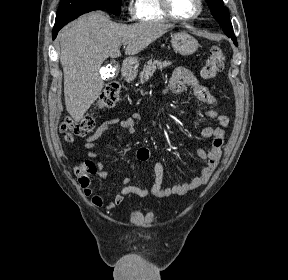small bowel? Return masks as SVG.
Wrapping results in <instances>:
<instances>
[{
  "label": "small bowel",
  "instance_id": "small-bowel-1",
  "mask_svg": "<svg viewBox=\"0 0 288 280\" xmlns=\"http://www.w3.org/2000/svg\"><path fill=\"white\" fill-rule=\"evenodd\" d=\"M187 87L192 89L194 96L199 101L209 106L208 110L205 112V116L209 121L204 124L201 130V135L205 139H212V142L207 150H197L198 156L205 161V165L200 170L199 174L187 182L164 188L162 187L164 167L160 162H155L153 166L154 182L151 185L144 188L138 187L132 184V180L129 176H123L121 178L123 187L106 202L101 194L93 193L90 186L83 187L84 195L87 197L91 196V203L93 206L101 207L105 205L108 210H113L115 207L122 204L124 199L130 195H135L141 198L147 196L165 198L175 195H185L208 182L221 157L225 128L229 125L230 120L226 115L218 114L215 110L217 101L214 96L210 93L207 87L199 83L195 75L187 68L177 67L174 69L163 93H181L186 90ZM140 117V113L136 112L125 119L116 117L102 122L95 132L86 139L84 147L87 156L92 159L98 157V154L94 151L96 141L106 131L114 127H119L128 133H133ZM213 121L217 122V127L213 126ZM137 158L141 161H149L151 159L150 150L146 147L139 148L137 151ZM97 167L99 169L98 176L100 178L107 179L111 177V173L105 169L101 162H97Z\"/></svg>",
  "mask_w": 288,
  "mask_h": 280
}]
</instances>
